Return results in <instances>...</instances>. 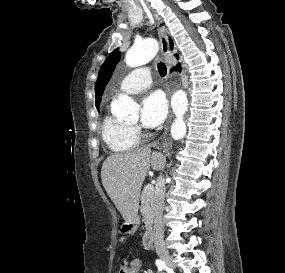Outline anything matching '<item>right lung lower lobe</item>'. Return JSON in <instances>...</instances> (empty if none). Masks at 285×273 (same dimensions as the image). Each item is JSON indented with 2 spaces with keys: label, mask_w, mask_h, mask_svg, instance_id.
<instances>
[{
  "label": "right lung lower lobe",
  "mask_w": 285,
  "mask_h": 273,
  "mask_svg": "<svg viewBox=\"0 0 285 273\" xmlns=\"http://www.w3.org/2000/svg\"><path fill=\"white\" fill-rule=\"evenodd\" d=\"M175 70H178V71H180V70H181V68H180V64H178V65H177V67H175Z\"/></svg>",
  "instance_id": "98d812e1"
}]
</instances>
